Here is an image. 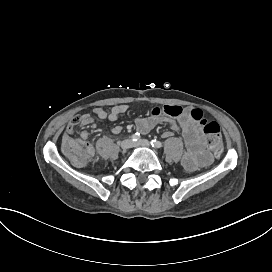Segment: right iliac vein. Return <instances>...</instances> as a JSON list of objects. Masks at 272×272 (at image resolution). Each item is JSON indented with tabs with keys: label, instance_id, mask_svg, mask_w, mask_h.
I'll return each mask as SVG.
<instances>
[{
	"label": "right iliac vein",
	"instance_id": "63e3f726",
	"mask_svg": "<svg viewBox=\"0 0 272 272\" xmlns=\"http://www.w3.org/2000/svg\"><path fill=\"white\" fill-rule=\"evenodd\" d=\"M120 147L123 150H127L129 148L132 147V141L129 139H124L121 143H120Z\"/></svg>",
	"mask_w": 272,
	"mask_h": 272
}]
</instances>
